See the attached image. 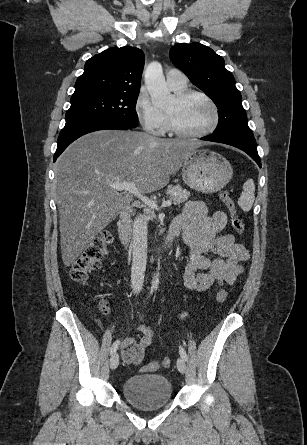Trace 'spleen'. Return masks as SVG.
<instances>
[{
    "instance_id": "1",
    "label": "spleen",
    "mask_w": 307,
    "mask_h": 445,
    "mask_svg": "<svg viewBox=\"0 0 307 445\" xmlns=\"http://www.w3.org/2000/svg\"><path fill=\"white\" fill-rule=\"evenodd\" d=\"M255 200V182L253 178H248L243 184V192L238 198V204L242 210H250Z\"/></svg>"
}]
</instances>
